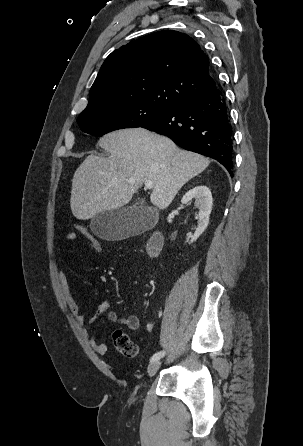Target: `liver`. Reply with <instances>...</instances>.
<instances>
[{
	"instance_id": "obj_1",
	"label": "liver",
	"mask_w": 303,
	"mask_h": 446,
	"mask_svg": "<svg viewBox=\"0 0 303 446\" xmlns=\"http://www.w3.org/2000/svg\"><path fill=\"white\" fill-rule=\"evenodd\" d=\"M99 145L110 156L89 155L72 179L70 206L80 220L122 208L145 180L153 182L152 204L165 209L183 185L210 164L202 155L143 128L111 132Z\"/></svg>"
}]
</instances>
